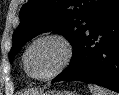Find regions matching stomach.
I'll use <instances>...</instances> for the list:
<instances>
[{"label":"stomach","mask_w":119,"mask_h":95,"mask_svg":"<svg viewBox=\"0 0 119 95\" xmlns=\"http://www.w3.org/2000/svg\"><path fill=\"white\" fill-rule=\"evenodd\" d=\"M42 95H76V94L73 92L48 91L43 93Z\"/></svg>","instance_id":"obj_1"}]
</instances>
